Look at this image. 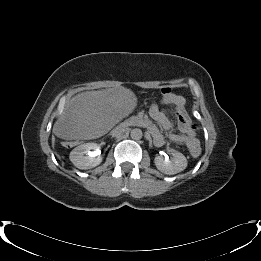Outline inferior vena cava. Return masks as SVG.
<instances>
[{
    "instance_id": "1",
    "label": "inferior vena cava",
    "mask_w": 261,
    "mask_h": 261,
    "mask_svg": "<svg viewBox=\"0 0 261 261\" xmlns=\"http://www.w3.org/2000/svg\"><path fill=\"white\" fill-rule=\"evenodd\" d=\"M124 131V128H121L118 132L120 133V132H123Z\"/></svg>"
}]
</instances>
